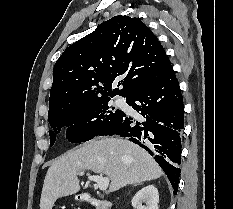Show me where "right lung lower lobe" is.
Here are the masks:
<instances>
[{
  "instance_id": "1",
  "label": "right lung lower lobe",
  "mask_w": 233,
  "mask_h": 209,
  "mask_svg": "<svg viewBox=\"0 0 233 209\" xmlns=\"http://www.w3.org/2000/svg\"><path fill=\"white\" fill-rule=\"evenodd\" d=\"M127 104L140 117L122 116L104 135H121L149 152L168 176L175 194L178 190L181 163V129L184 106L181 90L170 67L155 84L127 97Z\"/></svg>"
}]
</instances>
